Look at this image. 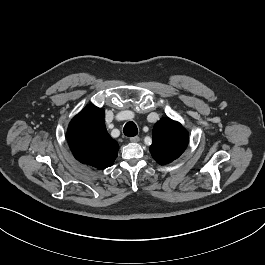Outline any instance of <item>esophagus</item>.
Segmentation results:
<instances>
[{"mask_svg": "<svg viewBox=\"0 0 265 265\" xmlns=\"http://www.w3.org/2000/svg\"><path fill=\"white\" fill-rule=\"evenodd\" d=\"M139 140H140V138L138 136H134V137L130 138V141L133 143H137V142H139Z\"/></svg>", "mask_w": 265, "mask_h": 265, "instance_id": "esophagus-1", "label": "esophagus"}]
</instances>
